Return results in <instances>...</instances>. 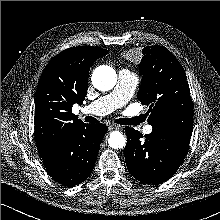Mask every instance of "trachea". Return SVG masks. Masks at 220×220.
Instances as JSON below:
<instances>
[{"label": "trachea", "mask_w": 220, "mask_h": 220, "mask_svg": "<svg viewBox=\"0 0 220 220\" xmlns=\"http://www.w3.org/2000/svg\"><path fill=\"white\" fill-rule=\"evenodd\" d=\"M86 122L90 123H96L98 120L94 117L87 116L85 118ZM115 123L121 124V125H137V118H119L115 120Z\"/></svg>", "instance_id": "3493384b"}]
</instances>
